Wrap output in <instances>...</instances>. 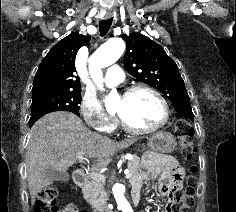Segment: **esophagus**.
<instances>
[{
	"mask_svg": "<svg viewBox=\"0 0 236 212\" xmlns=\"http://www.w3.org/2000/svg\"><path fill=\"white\" fill-rule=\"evenodd\" d=\"M112 17V13L111 12H107L105 15H104V18L105 19H109Z\"/></svg>",
	"mask_w": 236,
	"mask_h": 212,
	"instance_id": "1",
	"label": "esophagus"
}]
</instances>
